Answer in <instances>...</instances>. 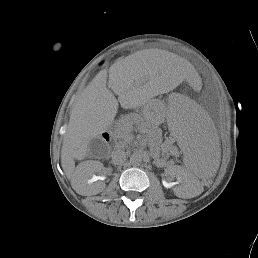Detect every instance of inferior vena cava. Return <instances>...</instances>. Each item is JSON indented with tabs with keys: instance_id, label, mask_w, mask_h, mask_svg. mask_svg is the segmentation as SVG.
<instances>
[{
	"instance_id": "obj_1",
	"label": "inferior vena cava",
	"mask_w": 258,
	"mask_h": 258,
	"mask_svg": "<svg viewBox=\"0 0 258 258\" xmlns=\"http://www.w3.org/2000/svg\"><path fill=\"white\" fill-rule=\"evenodd\" d=\"M115 159H116V161H117L118 163L123 162L124 159H125V154H124V152H119V153H117L116 156H115Z\"/></svg>"
}]
</instances>
